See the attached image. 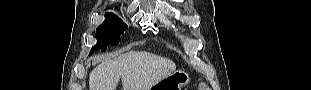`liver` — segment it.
Listing matches in <instances>:
<instances>
[{"mask_svg":"<svg viewBox=\"0 0 311 90\" xmlns=\"http://www.w3.org/2000/svg\"><path fill=\"white\" fill-rule=\"evenodd\" d=\"M175 70L168 58L130 51L96 66L89 75V90H116L120 78L123 90H150Z\"/></svg>","mask_w":311,"mask_h":90,"instance_id":"liver-1","label":"liver"}]
</instances>
